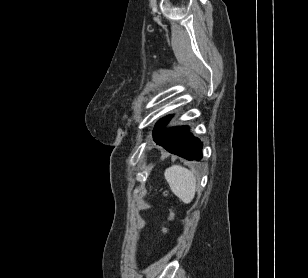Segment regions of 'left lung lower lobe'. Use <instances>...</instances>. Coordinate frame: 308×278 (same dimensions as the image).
Here are the masks:
<instances>
[{
	"label": "left lung lower lobe",
	"mask_w": 308,
	"mask_h": 278,
	"mask_svg": "<svg viewBox=\"0 0 308 278\" xmlns=\"http://www.w3.org/2000/svg\"><path fill=\"white\" fill-rule=\"evenodd\" d=\"M170 118L171 116H167L155 125L153 130L154 141L170 153L189 160H200L202 158V143L189 132V127L163 129Z\"/></svg>",
	"instance_id": "0a47b994"
}]
</instances>
